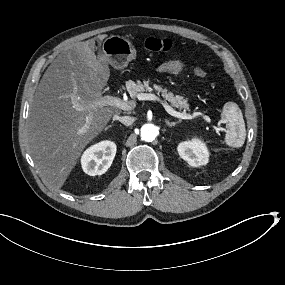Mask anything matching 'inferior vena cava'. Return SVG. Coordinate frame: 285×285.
Instances as JSON below:
<instances>
[{"label": "inferior vena cava", "instance_id": "1", "mask_svg": "<svg viewBox=\"0 0 285 285\" xmlns=\"http://www.w3.org/2000/svg\"><path fill=\"white\" fill-rule=\"evenodd\" d=\"M117 120H119L124 125L129 126L133 123L134 117L117 115Z\"/></svg>", "mask_w": 285, "mask_h": 285}]
</instances>
